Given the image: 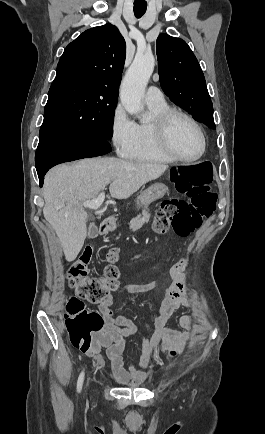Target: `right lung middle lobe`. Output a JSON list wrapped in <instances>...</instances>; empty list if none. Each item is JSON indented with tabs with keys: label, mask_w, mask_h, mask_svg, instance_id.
Here are the masks:
<instances>
[{
	"label": "right lung middle lobe",
	"mask_w": 265,
	"mask_h": 434,
	"mask_svg": "<svg viewBox=\"0 0 265 434\" xmlns=\"http://www.w3.org/2000/svg\"><path fill=\"white\" fill-rule=\"evenodd\" d=\"M118 90L89 79L53 81L40 134L47 129L72 137L110 140Z\"/></svg>",
	"instance_id": "dd1d6c3e"
}]
</instances>
